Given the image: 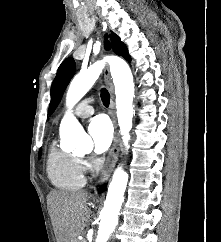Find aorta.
Masks as SVG:
<instances>
[{"mask_svg": "<svg viewBox=\"0 0 221 242\" xmlns=\"http://www.w3.org/2000/svg\"><path fill=\"white\" fill-rule=\"evenodd\" d=\"M110 66L116 94L117 118L126 148H129V132L132 128L134 82L129 65L116 56L106 57L97 61L87 70L77 74L72 80L67 95L66 105L69 112L60 125V133L70 150L88 151L92 148L91 138L86 134L71 109L84 97L99 78L105 63ZM128 183V174L118 167L109 184L106 201L101 212L96 242H107L118 223V215L124 201V193Z\"/></svg>", "mask_w": 221, "mask_h": 242, "instance_id": "1", "label": "aorta"}]
</instances>
